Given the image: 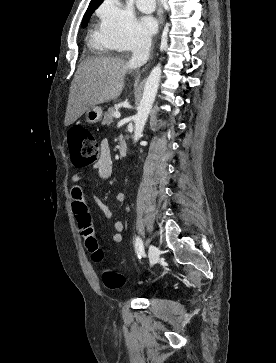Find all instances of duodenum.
Wrapping results in <instances>:
<instances>
[{"instance_id": "obj_1", "label": "duodenum", "mask_w": 276, "mask_h": 363, "mask_svg": "<svg viewBox=\"0 0 276 363\" xmlns=\"http://www.w3.org/2000/svg\"><path fill=\"white\" fill-rule=\"evenodd\" d=\"M119 154L125 156L127 154V142L124 136L119 137Z\"/></svg>"}]
</instances>
